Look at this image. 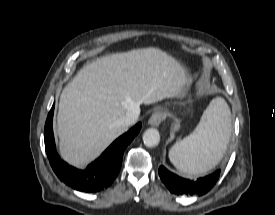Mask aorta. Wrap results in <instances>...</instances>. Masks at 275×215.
<instances>
[{"label": "aorta", "mask_w": 275, "mask_h": 215, "mask_svg": "<svg viewBox=\"0 0 275 215\" xmlns=\"http://www.w3.org/2000/svg\"><path fill=\"white\" fill-rule=\"evenodd\" d=\"M143 142L146 146L155 147L160 142V134L157 129L149 128L143 134Z\"/></svg>", "instance_id": "762f6f07"}]
</instances>
